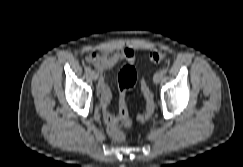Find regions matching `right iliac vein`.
I'll list each match as a JSON object with an SVG mask.
<instances>
[{
	"label": "right iliac vein",
	"instance_id": "obj_1",
	"mask_svg": "<svg viewBox=\"0 0 243 167\" xmlns=\"http://www.w3.org/2000/svg\"><path fill=\"white\" fill-rule=\"evenodd\" d=\"M89 76L93 79V80H97L98 76L97 73L95 71H90L89 72Z\"/></svg>",
	"mask_w": 243,
	"mask_h": 167
}]
</instances>
